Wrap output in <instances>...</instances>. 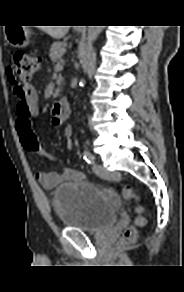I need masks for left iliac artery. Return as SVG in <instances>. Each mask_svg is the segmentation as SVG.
Segmentation results:
<instances>
[{"instance_id":"obj_1","label":"left iliac artery","mask_w":184,"mask_h":292,"mask_svg":"<svg viewBox=\"0 0 184 292\" xmlns=\"http://www.w3.org/2000/svg\"><path fill=\"white\" fill-rule=\"evenodd\" d=\"M83 158L85 159V161L88 164H94L95 163V157L92 153H90L89 151L85 150L83 152Z\"/></svg>"}]
</instances>
